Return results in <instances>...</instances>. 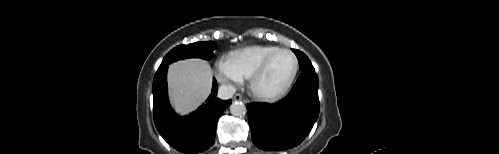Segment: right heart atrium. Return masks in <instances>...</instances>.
I'll list each match as a JSON object with an SVG mask.
<instances>
[{"label":"right heart atrium","instance_id":"d8ad5b80","mask_svg":"<svg viewBox=\"0 0 499 154\" xmlns=\"http://www.w3.org/2000/svg\"><path fill=\"white\" fill-rule=\"evenodd\" d=\"M216 77L225 84H237L242 81V76L233 66L228 57H221L216 63Z\"/></svg>","mask_w":499,"mask_h":154}]
</instances>
